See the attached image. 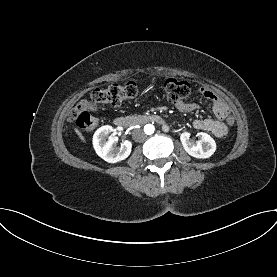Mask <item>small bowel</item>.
Returning <instances> with one entry per match:
<instances>
[{"label":"small bowel","mask_w":277,"mask_h":277,"mask_svg":"<svg viewBox=\"0 0 277 277\" xmlns=\"http://www.w3.org/2000/svg\"><path fill=\"white\" fill-rule=\"evenodd\" d=\"M200 93L211 102L212 110L216 119L196 118L192 121L193 126L195 128L211 132L216 137H223L228 131L227 127L223 123V120L226 116L230 115L227 104L209 89L202 88L200 89ZM176 106L181 110H193L196 108L195 104H190L183 101L176 103Z\"/></svg>","instance_id":"1"}]
</instances>
